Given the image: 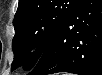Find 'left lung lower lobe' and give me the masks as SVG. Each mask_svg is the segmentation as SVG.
I'll return each mask as SVG.
<instances>
[{"instance_id": "obj_1", "label": "left lung lower lobe", "mask_w": 102, "mask_h": 75, "mask_svg": "<svg viewBox=\"0 0 102 75\" xmlns=\"http://www.w3.org/2000/svg\"><path fill=\"white\" fill-rule=\"evenodd\" d=\"M102 75V1L82 0L47 41L30 75Z\"/></svg>"}]
</instances>
